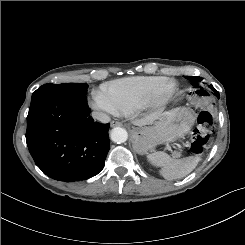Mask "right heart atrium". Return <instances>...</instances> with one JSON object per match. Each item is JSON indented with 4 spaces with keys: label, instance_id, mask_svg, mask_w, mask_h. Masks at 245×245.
<instances>
[{
    "label": "right heart atrium",
    "instance_id": "obj_1",
    "mask_svg": "<svg viewBox=\"0 0 245 245\" xmlns=\"http://www.w3.org/2000/svg\"><path fill=\"white\" fill-rule=\"evenodd\" d=\"M90 106L101 113L104 117L109 115H116V109L106 100V98L100 93L95 92L89 101Z\"/></svg>",
    "mask_w": 245,
    "mask_h": 245
}]
</instances>
